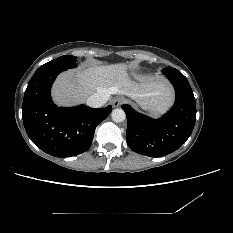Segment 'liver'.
Segmentation results:
<instances>
[{
    "label": "liver",
    "instance_id": "6515ba94",
    "mask_svg": "<svg viewBox=\"0 0 233 233\" xmlns=\"http://www.w3.org/2000/svg\"><path fill=\"white\" fill-rule=\"evenodd\" d=\"M126 64L92 65L60 74L52 88V98L59 106L85 102L98 92L126 95L142 106L166 109L172 103V90L159 76L139 77L132 81Z\"/></svg>",
    "mask_w": 233,
    "mask_h": 233
}]
</instances>
